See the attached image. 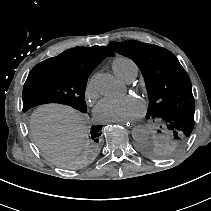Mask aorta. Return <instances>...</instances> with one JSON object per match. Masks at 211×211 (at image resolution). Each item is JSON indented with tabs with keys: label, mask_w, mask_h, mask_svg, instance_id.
Returning a JSON list of instances; mask_svg holds the SVG:
<instances>
[{
	"label": "aorta",
	"mask_w": 211,
	"mask_h": 211,
	"mask_svg": "<svg viewBox=\"0 0 211 211\" xmlns=\"http://www.w3.org/2000/svg\"><path fill=\"white\" fill-rule=\"evenodd\" d=\"M95 85L101 94L108 97L117 96L123 91L122 84L114 76L107 73L99 74L96 77ZM132 137L137 142L146 140L149 137V131L143 125L135 126L132 129Z\"/></svg>",
	"instance_id": "obj_1"
}]
</instances>
